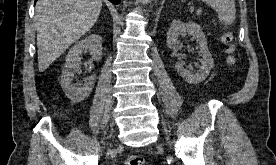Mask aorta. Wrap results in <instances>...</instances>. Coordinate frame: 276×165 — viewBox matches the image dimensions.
I'll return each instance as SVG.
<instances>
[{"mask_svg": "<svg viewBox=\"0 0 276 165\" xmlns=\"http://www.w3.org/2000/svg\"><path fill=\"white\" fill-rule=\"evenodd\" d=\"M149 2H150V0H140V4H141L142 7L147 5Z\"/></svg>", "mask_w": 276, "mask_h": 165, "instance_id": "762f6f07", "label": "aorta"}]
</instances>
